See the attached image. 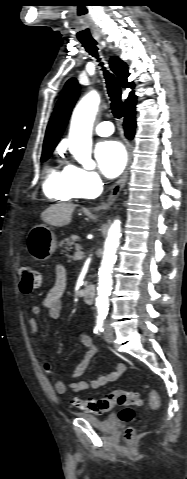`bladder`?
Segmentation results:
<instances>
[{
  "label": "bladder",
  "instance_id": "1",
  "mask_svg": "<svg viewBox=\"0 0 187 479\" xmlns=\"http://www.w3.org/2000/svg\"><path fill=\"white\" fill-rule=\"evenodd\" d=\"M75 415L78 416L79 418L85 419L101 432L112 433L116 429V423L113 422L112 418L110 417L99 419L93 415L86 414L83 412H76Z\"/></svg>",
  "mask_w": 187,
  "mask_h": 479
}]
</instances>
